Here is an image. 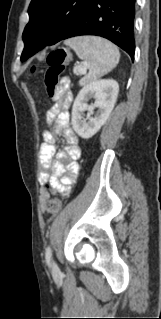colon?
<instances>
[{
	"mask_svg": "<svg viewBox=\"0 0 161 319\" xmlns=\"http://www.w3.org/2000/svg\"><path fill=\"white\" fill-rule=\"evenodd\" d=\"M69 54L64 49H57L53 51L47 59V70L43 77V86L47 96L50 99L56 98L57 86L59 84L60 75L63 72L64 66L67 63ZM33 72L36 68L32 69ZM44 187L49 189L51 187L49 182L44 183ZM46 208L51 213H58L61 210V201L53 199L47 202Z\"/></svg>",
	"mask_w": 161,
	"mask_h": 319,
	"instance_id": "1",
	"label": "colon"
}]
</instances>
